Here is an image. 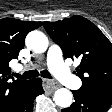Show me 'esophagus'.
<instances>
[{"mask_svg": "<svg viewBox=\"0 0 112 112\" xmlns=\"http://www.w3.org/2000/svg\"><path fill=\"white\" fill-rule=\"evenodd\" d=\"M43 82L45 85V90L50 93L54 92L59 87L57 82L50 80V79H43Z\"/></svg>", "mask_w": 112, "mask_h": 112, "instance_id": "esophagus-1", "label": "esophagus"}]
</instances>
